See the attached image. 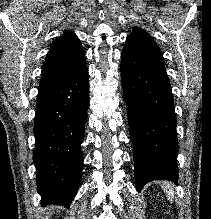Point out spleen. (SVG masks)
Segmentation results:
<instances>
[{
  "label": "spleen",
  "mask_w": 211,
  "mask_h": 219,
  "mask_svg": "<svg viewBox=\"0 0 211 219\" xmlns=\"http://www.w3.org/2000/svg\"><path fill=\"white\" fill-rule=\"evenodd\" d=\"M162 187L167 195V198L172 201L174 199V191L172 186L170 187V184L164 183Z\"/></svg>",
  "instance_id": "spleen-1"
}]
</instances>
